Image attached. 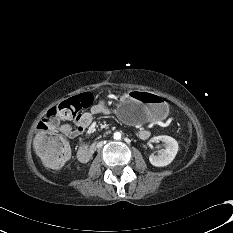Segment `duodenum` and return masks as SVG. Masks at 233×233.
I'll return each mask as SVG.
<instances>
[{"instance_id":"1","label":"duodenum","mask_w":233,"mask_h":233,"mask_svg":"<svg viewBox=\"0 0 233 233\" xmlns=\"http://www.w3.org/2000/svg\"><path fill=\"white\" fill-rule=\"evenodd\" d=\"M96 151V145L88 146V145H83L78 149V159L86 163L90 160L94 152Z\"/></svg>"}]
</instances>
